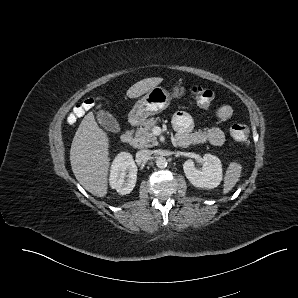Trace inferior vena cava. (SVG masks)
<instances>
[{
	"label": "inferior vena cava",
	"mask_w": 298,
	"mask_h": 298,
	"mask_svg": "<svg viewBox=\"0 0 298 298\" xmlns=\"http://www.w3.org/2000/svg\"><path fill=\"white\" fill-rule=\"evenodd\" d=\"M152 155L151 150H139L136 153V158L139 160H147Z\"/></svg>",
	"instance_id": "1"
}]
</instances>
